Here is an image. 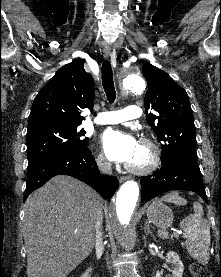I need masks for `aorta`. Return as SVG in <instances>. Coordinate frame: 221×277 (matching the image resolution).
Masks as SVG:
<instances>
[{"label":"aorta","mask_w":221,"mask_h":277,"mask_svg":"<svg viewBox=\"0 0 221 277\" xmlns=\"http://www.w3.org/2000/svg\"><path fill=\"white\" fill-rule=\"evenodd\" d=\"M122 94H141L145 90V80L137 71H127L121 79ZM139 197V186L134 180L122 184L109 203L113 233L120 245L131 250L135 247V213Z\"/></svg>","instance_id":"762f6f07"}]
</instances>
